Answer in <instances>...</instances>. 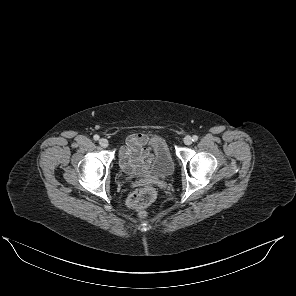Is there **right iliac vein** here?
Returning a JSON list of instances; mask_svg holds the SVG:
<instances>
[{
	"mask_svg": "<svg viewBox=\"0 0 296 296\" xmlns=\"http://www.w3.org/2000/svg\"><path fill=\"white\" fill-rule=\"evenodd\" d=\"M99 144H100L101 147L106 148V147H108L109 143H108L107 139L102 138V139L99 140Z\"/></svg>",
	"mask_w": 296,
	"mask_h": 296,
	"instance_id": "obj_1",
	"label": "right iliac vein"
}]
</instances>
